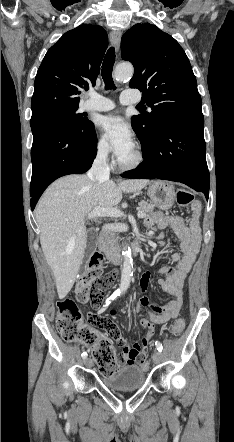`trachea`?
<instances>
[{"mask_svg":"<svg viewBox=\"0 0 234 442\" xmlns=\"http://www.w3.org/2000/svg\"><path fill=\"white\" fill-rule=\"evenodd\" d=\"M114 63H115V49L111 47L107 51L102 64V78L104 80L106 89H115V84L112 78Z\"/></svg>","mask_w":234,"mask_h":442,"instance_id":"trachea-1","label":"trachea"}]
</instances>
